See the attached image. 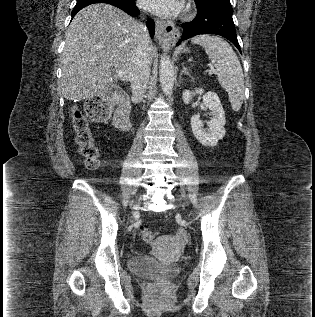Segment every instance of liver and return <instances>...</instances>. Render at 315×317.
Wrapping results in <instances>:
<instances>
[{
    "label": "liver",
    "instance_id": "1",
    "mask_svg": "<svg viewBox=\"0 0 315 317\" xmlns=\"http://www.w3.org/2000/svg\"><path fill=\"white\" fill-rule=\"evenodd\" d=\"M142 36L141 24L114 6L94 4L82 9L65 33L61 58L64 98H92L110 84L112 68L130 80ZM148 54L151 64L157 56L151 41Z\"/></svg>",
    "mask_w": 315,
    "mask_h": 317
}]
</instances>
